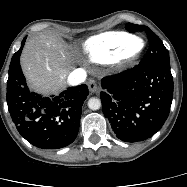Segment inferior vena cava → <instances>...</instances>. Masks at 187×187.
<instances>
[{"instance_id": "obj_1", "label": "inferior vena cava", "mask_w": 187, "mask_h": 187, "mask_svg": "<svg viewBox=\"0 0 187 187\" xmlns=\"http://www.w3.org/2000/svg\"><path fill=\"white\" fill-rule=\"evenodd\" d=\"M86 75L85 70L81 68L75 69L69 74L67 82L71 86L79 85L85 81Z\"/></svg>"}]
</instances>
